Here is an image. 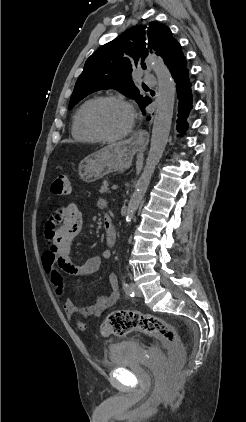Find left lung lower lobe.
I'll list each match as a JSON object with an SVG mask.
<instances>
[{"mask_svg": "<svg viewBox=\"0 0 246 422\" xmlns=\"http://www.w3.org/2000/svg\"><path fill=\"white\" fill-rule=\"evenodd\" d=\"M187 61L186 57L182 53L181 45H179L173 54L172 58L168 62V69L175 80L177 97H178V119H177V131L183 132L188 127L187 117L189 112L192 109V90L191 82L189 81V71L186 67ZM151 103V100L148 104ZM143 113L145 112L142 109ZM148 120L150 117L147 118Z\"/></svg>", "mask_w": 246, "mask_h": 422, "instance_id": "1", "label": "left lung lower lobe"}]
</instances>
